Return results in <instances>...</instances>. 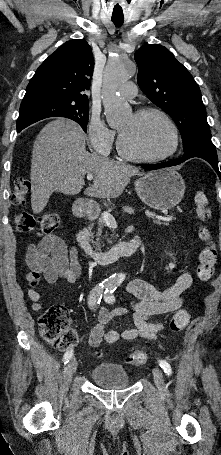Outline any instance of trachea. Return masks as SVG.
<instances>
[{"label":"trachea","mask_w":221,"mask_h":455,"mask_svg":"<svg viewBox=\"0 0 221 455\" xmlns=\"http://www.w3.org/2000/svg\"><path fill=\"white\" fill-rule=\"evenodd\" d=\"M112 22L117 25V26H121L124 22V19H120V18H112Z\"/></svg>","instance_id":"1"}]
</instances>
